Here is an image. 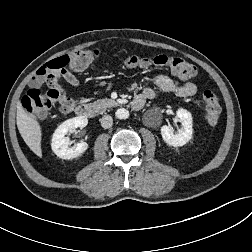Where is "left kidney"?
I'll return each mask as SVG.
<instances>
[{"mask_svg":"<svg viewBox=\"0 0 252 252\" xmlns=\"http://www.w3.org/2000/svg\"><path fill=\"white\" fill-rule=\"evenodd\" d=\"M176 115L182 123V128L178 133L175 134L170 125H163L160 130L166 144L179 147L185 145L192 138V116L189 111L182 108L177 110Z\"/></svg>","mask_w":252,"mask_h":252,"instance_id":"5707ae66","label":"left kidney"}]
</instances>
